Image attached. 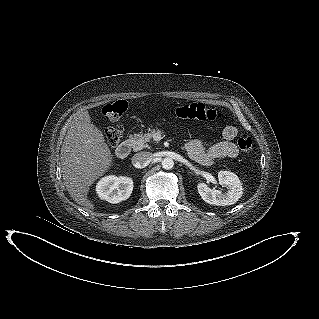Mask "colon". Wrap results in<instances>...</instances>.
Returning <instances> with one entry per match:
<instances>
[{
  "label": "colon",
  "mask_w": 319,
  "mask_h": 319,
  "mask_svg": "<svg viewBox=\"0 0 319 319\" xmlns=\"http://www.w3.org/2000/svg\"><path fill=\"white\" fill-rule=\"evenodd\" d=\"M127 102L118 100L104 105L103 115L111 120L119 118L127 110ZM170 114L176 118L190 121H215L223 118V113L202 103H190L169 110ZM123 128L121 126L108 127L105 130V138L110 146H115L121 140ZM240 150L246 154L253 153V142L248 137H241L238 142Z\"/></svg>",
  "instance_id": "obj_1"
}]
</instances>
